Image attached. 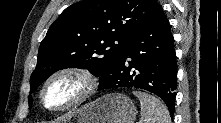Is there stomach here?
<instances>
[{"label": "stomach", "mask_w": 221, "mask_h": 123, "mask_svg": "<svg viewBox=\"0 0 221 123\" xmlns=\"http://www.w3.org/2000/svg\"><path fill=\"white\" fill-rule=\"evenodd\" d=\"M137 110L130 98L109 93L68 113L63 123H134Z\"/></svg>", "instance_id": "stomach-1"}]
</instances>
